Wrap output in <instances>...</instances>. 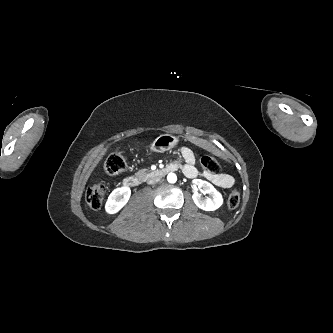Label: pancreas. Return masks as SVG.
<instances>
[{
  "instance_id": "obj_1",
  "label": "pancreas",
  "mask_w": 333,
  "mask_h": 333,
  "mask_svg": "<svg viewBox=\"0 0 333 333\" xmlns=\"http://www.w3.org/2000/svg\"><path fill=\"white\" fill-rule=\"evenodd\" d=\"M147 169L139 170L135 175L139 179H145L147 177Z\"/></svg>"
}]
</instances>
